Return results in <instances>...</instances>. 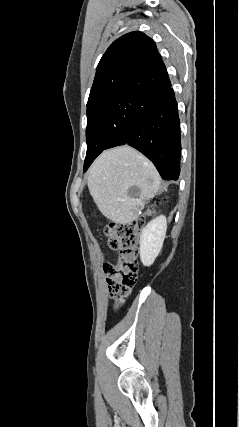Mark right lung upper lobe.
<instances>
[{"instance_id":"1","label":"right lung upper lobe","mask_w":239,"mask_h":427,"mask_svg":"<svg viewBox=\"0 0 239 427\" xmlns=\"http://www.w3.org/2000/svg\"><path fill=\"white\" fill-rule=\"evenodd\" d=\"M171 85L155 42L142 32L115 40L96 70L87 106L127 95L145 97Z\"/></svg>"}]
</instances>
